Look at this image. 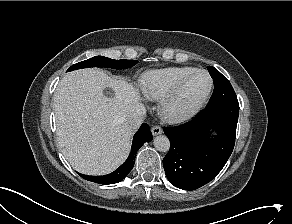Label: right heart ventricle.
Wrapping results in <instances>:
<instances>
[{
	"instance_id": "e07e8e85",
	"label": "right heart ventricle",
	"mask_w": 292,
	"mask_h": 224,
	"mask_svg": "<svg viewBox=\"0 0 292 224\" xmlns=\"http://www.w3.org/2000/svg\"><path fill=\"white\" fill-rule=\"evenodd\" d=\"M195 70L194 67H168L148 71L140 79L143 94L152 100L165 97L185 75Z\"/></svg>"
}]
</instances>
